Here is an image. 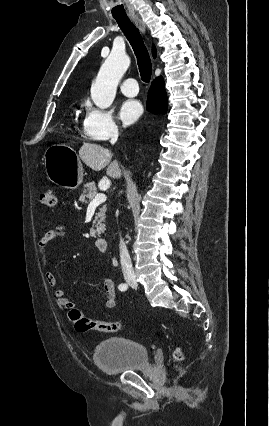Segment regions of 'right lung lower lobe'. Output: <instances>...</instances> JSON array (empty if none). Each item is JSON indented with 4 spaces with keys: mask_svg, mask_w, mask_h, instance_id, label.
Masks as SVG:
<instances>
[{
    "mask_svg": "<svg viewBox=\"0 0 269 426\" xmlns=\"http://www.w3.org/2000/svg\"><path fill=\"white\" fill-rule=\"evenodd\" d=\"M168 101L162 77L156 78L149 89L147 110L154 114H164L167 111Z\"/></svg>",
    "mask_w": 269,
    "mask_h": 426,
    "instance_id": "obj_1",
    "label": "right lung lower lobe"
}]
</instances>
